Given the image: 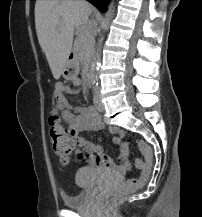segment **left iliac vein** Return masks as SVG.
<instances>
[{
    "mask_svg": "<svg viewBox=\"0 0 202 217\" xmlns=\"http://www.w3.org/2000/svg\"><path fill=\"white\" fill-rule=\"evenodd\" d=\"M94 104H95L96 109L99 112L104 111V104L101 101L100 93H99L98 90H96L95 93H94Z\"/></svg>",
    "mask_w": 202,
    "mask_h": 217,
    "instance_id": "1",
    "label": "left iliac vein"
}]
</instances>
